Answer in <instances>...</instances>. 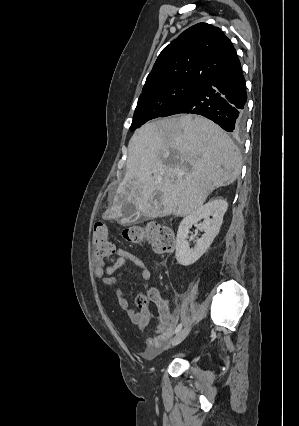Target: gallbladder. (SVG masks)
Returning a JSON list of instances; mask_svg holds the SVG:
<instances>
[{"mask_svg":"<svg viewBox=\"0 0 299 426\" xmlns=\"http://www.w3.org/2000/svg\"><path fill=\"white\" fill-rule=\"evenodd\" d=\"M122 214L123 219L119 223L123 225H130L144 219V216L137 215V208L130 203L122 208Z\"/></svg>","mask_w":299,"mask_h":426,"instance_id":"bac80fb5","label":"gallbladder"}]
</instances>
